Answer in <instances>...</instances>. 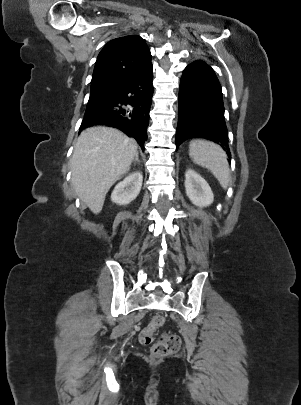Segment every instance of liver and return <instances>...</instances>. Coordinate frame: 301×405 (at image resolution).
<instances>
[{"mask_svg":"<svg viewBox=\"0 0 301 405\" xmlns=\"http://www.w3.org/2000/svg\"><path fill=\"white\" fill-rule=\"evenodd\" d=\"M136 152V141L114 128L96 126L80 134L71 158V181L94 214L102 210L111 186L130 170Z\"/></svg>","mask_w":301,"mask_h":405,"instance_id":"1","label":"liver"}]
</instances>
